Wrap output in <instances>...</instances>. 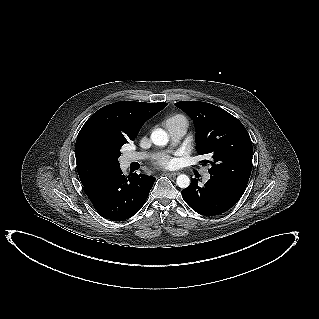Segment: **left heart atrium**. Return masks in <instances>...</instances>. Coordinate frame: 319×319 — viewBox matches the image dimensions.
Here are the masks:
<instances>
[{
	"instance_id": "left-heart-atrium-1",
	"label": "left heart atrium",
	"mask_w": 319,
	"mask_h": 319,
	"mask_svg": "<svg viewBox=\"0 0 319 319\" xmlns=\"http://www.w3.org/2000/svg\"><path fill=\"white\" fill-rule=\"evenodd\" d=\"M156 164L161 167H171L174 165V160L171 157L165 156L157 160Z\"/></svg>"
}]
</instances>
